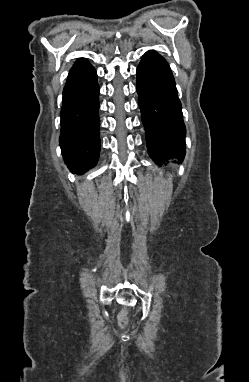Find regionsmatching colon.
Wrapping results in <instances>:
<instances>
[{"label": "colon", "mask_w": 249, "mask_h": 382, "mask_svg": "<svg viewBox=\"0 0 249 382\" xmlns=\"http://www.w3.org/2000/svg\"><path fill=\"white\" fill-rule=\"evenodd\" d=\"M128 323V319H127V311L126 310H123L119 316H118V324L120 326H126Z\"/></svg>", "instance_id": "5ec220e1"}]
</instances>
